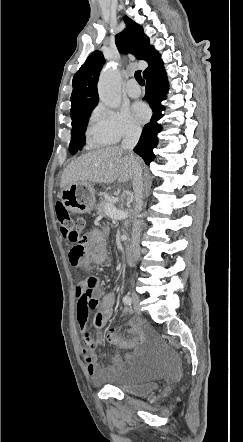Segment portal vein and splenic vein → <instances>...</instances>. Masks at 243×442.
<instances>
[{"mask_svg": "<svg viewBox=\"0 0 243 442\" xmlns=\"http://www.w3.org/2000/svg\"><path fill=\"white\" fill-rule=\"evenodd\" d=\"M105 211L110 218L115 220H121L127 216L126 212L117 210L116 207L113 205H107L105 207Z\"/></svg>", "mask_w": 243, "mask_h": 442, "instance_id": "obj_1", "label": "portal vein and splenic vein"}]
</instances>
